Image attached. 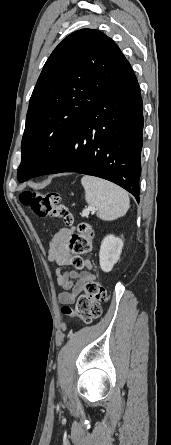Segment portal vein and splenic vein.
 Here are the masks:
<instances>
[{
	"mask_svg": "<svg viewBox=\"0 0 171 445\" xmlns=\"http://www.w3.org/2000/svg\"><path fill=\"white\" fill-rule=\"evenodd\" d=\"M90 211L91 212L95 211V208L88 207L87 209L83 210V215L88 216Z\"/></svg>",
	"mask_w": 171,
	"mask_h": 445,
	"instance_id": "obj_1",
	"label": "portal vein and splenic vein"
}]
</instances>
